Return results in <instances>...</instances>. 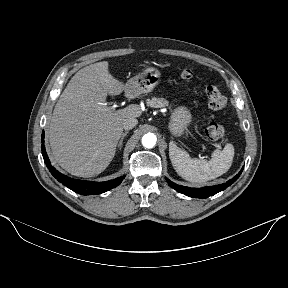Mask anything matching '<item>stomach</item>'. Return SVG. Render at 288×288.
<instances>
[{"instance_id":"stomach-1","label":"stomach","mask_w":288,"mask_h":288,"mask_svg":"<svg viewBox=\"0 0 288 288\" xmlns=\"http://www.w3.org/2000/svg\"><path fill=\"white\" fill-rule=\"evenodd\" d=\"M161 73L154 67H147L144 71L126 83V92L136 97L151 92L160 82ZM192 115L186 106L176 107L170 116L168 128L170 132L179 137L187 130Z\"/></svg>"}]
</instances>
